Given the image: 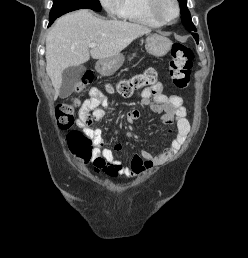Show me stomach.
<instances>
[{
    "label": "stomach",
    "mask_w": 248,
    "mask_h": 258,
    "mask_svg": "<svg viewBox=\"0 0 248 258\" xmlns=\"http://www.w3.org/2000/svg\"><path fill=\"white\" fill-rule=\"evenodd\" d=\"M172 47V42L161 35L153 34L146 39V50L155 57L166 55ZM124 62V56L118 54L114 57L101 59L96 63L97 71L103 76L114 74Z\"/></svg>",
    "instance_id": "1"
}]
</instances>
